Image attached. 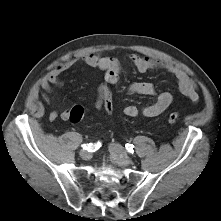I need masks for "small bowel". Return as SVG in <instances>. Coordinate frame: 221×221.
Wrapping results in <instances>:
<instances>
[{
    "mask_svg": "<svg viewBox=\"0 0 221 221\" xmlns=\"http://www.w3.org/2000/svg\"><path fill=\"white\" fill-rule=\"evenodd\" d=\"M82 61L91 69H98L103 72L104 68H111L113 75L107 78L103 74L102 82L97 88L96 108L102 109L103 105V88L106 85L113 86L118 80L122 71V63L114 57L105 56L101 53H89L78 57L66 59L56 64L52 70L42 80V97L46 103L50 102V94L53 92V87H62L64 82L60 75L71 68L75 63ZM127 61L139 72L146 73L152 69H164L170 72L176 81L179 91L186 96L192 103L199 100V90L195 82H193L187 74L180 68L171 64L165 63L159 59L138 54L127 55ZM128 92L130 94L155 96L156 101L153 104L139 108L135 105H128L123 112L127 117L134 118L139 115L144 117H156L162 114L172 103V94L168 91L157 92L153 84L149 82H134L129 85ZM70 109L58 111L54 109L49 114L50 120L61 118L62 120L69 119Z\"/></svg>",
    "mask_w": 221,
    "mask_h": 221,
    "instance_id": "c3829d8e",
    "label": "small bowel"
}]
</instances>
